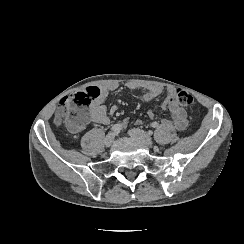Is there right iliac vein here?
<instances>
[{
    "label": "right iliac vein",
    "instance_id": "right-iliac-vein-1",
    "mask_svg": "<svg viewBox=\"0 0 244 244\" xmlns=\"http://www.w3.org/2000/svg\"><path fill=\"white\" fill-rule=\"evenodd\" d=\"M113 141H114V134L110 133L104 139V144L106 147H110L113 144Z\"/></svg>",
    "mask_w": 244,
    "mask_h": 244
}]
</instances>
